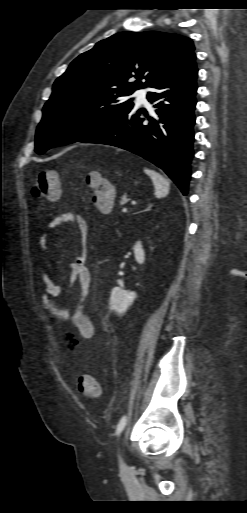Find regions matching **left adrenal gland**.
<instances>
[{"mask_svg":"<svg viewBox=\"0 0 247 513\" xmlns=\"http://www.w3.org/2000/svg\"><path fill=\"white\" fill-rule=\"evenodd\" d=\"M152 204H149L148 207L144 211H149L152 208Z\"/></svg>","mask_w":247,"mask_h":513,"instance_id":"left-adrenal-gland-1","label":"left adrenal gland"}]
</instances>
